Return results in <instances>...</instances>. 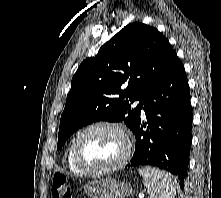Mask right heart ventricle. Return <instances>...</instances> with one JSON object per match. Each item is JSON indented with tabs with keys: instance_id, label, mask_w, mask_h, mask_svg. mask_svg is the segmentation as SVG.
<instances>
[{
	"instance_id": "e07e8e85",
	"label": "right heart ventricle",
	"mask_w": 221,
	"mask_h": 198,
	"mask_svg": "<svg viewBox=\"0 0 221 198\" xmlns=\"http://www.w3.org/2000/svg\"><path fill=\"white\" fill-rule=\"evenodd\" d=\"M73 141L74 139L69 143L68 147H67V150H66V163H67V166L68 168L74 172V173H77V174H81V173H84L82 172L78 167L77 165L75 164L74 160H73V156H72V145H73Z\"/></svg>"
}]
</instances>
